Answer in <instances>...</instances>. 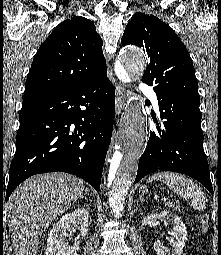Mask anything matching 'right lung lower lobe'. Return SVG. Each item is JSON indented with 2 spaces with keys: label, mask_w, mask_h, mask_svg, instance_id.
I'll return each instance as SVG.
<instances>
[{
  "label": "right lung lower lobe",
  "mask_w": 221,
  "mask_h": 255,
  "mask_svg": "<svg viewBox=\"0 0 221 255\" xmlns=\"http://www.w3.org/2000/svg\"><path fill=\"white\" fill-rule=\"evenodd\" d=\"M115 115L107 73L71 88L23 99L6 201L28 177L74 174L100 190Z\"/></svg>",
  "instance_id": "1"
}]
</instances>
